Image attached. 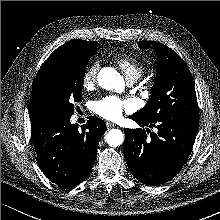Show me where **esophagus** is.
Segmentation results:
<instances>
[{
  "label": "esophagus",
  "instance_id": "esophagus-1",
  "mask_svg": "<svg viewBox=\"0 0 220 220\" xmlns=\"http://www.w3.org/2000/svg\"><path fill=\"white\" fill-rule=\"evenodd\" d=\"M106 126H107V128H112V127H114L116 125L114 123L110 122V121H107L106 122Z\"/></svg>",
  "mask_w": 220,
  "mask_h": 220
}]
</instances>
